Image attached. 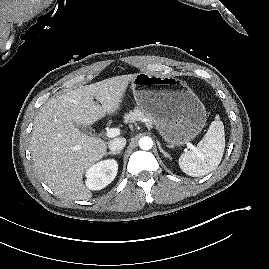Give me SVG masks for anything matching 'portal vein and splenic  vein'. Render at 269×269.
Returning <instances> with one entry per match:
<instances>
[{
    "label": "portal vein and splenic vein",
    "mask_w": 269,
    "mask_h": 269,
    "mask_svg": "<svg viewBox=\"0 0 269 269\" xmlns=\"http://www.w3.org/2000/svg\"><path fill=\"white\" fill-rule=\"evenodd\" d=\"M119 134H120V130L118 128H111V129H108L107 132H106V136L108 138L116 137ZM187 147L190 148V149H194V146L191 143H188Z\"/></svg>",
    "instance_id": "portal-vein-and-splenic-vein-1"
}]
</instances>
